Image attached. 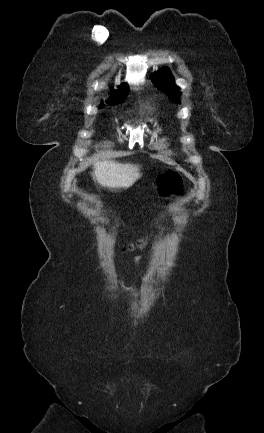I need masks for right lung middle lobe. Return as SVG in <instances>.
Here are the masks:
<instances>
[{
    "label": "right lung middle lobe",
    "mask_w": 264,
    "mask_h": 433,
    "mask_svg": "<svg viewBox=\"0 0 264 433\" xmlns=\"http://www.w3.org/2000/svg\"><path fill=\"white\" fill-rule=\"evenodd\" d=\"M124 99V98H123ZM123 99H120V100H116V101H112V103H120V102H122L123 101ZM104 106L103 105H101L100 106V108H103Z\"/></svg>",
    "instance_id": "dd1d6c3e"
}]
</instances>
